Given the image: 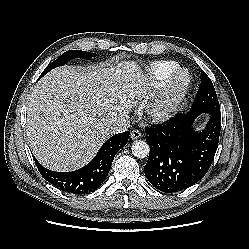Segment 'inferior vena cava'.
Returning <instances> with one entry per match:
<instances>
[{
	"label": "inferior vena cava",
	"instance_id": "inferior-vena-cava-1",
	"mask_svg": "<svg viewBox=\"0 0 249 249\" xmlns=\"http://www.w3.org/2000/svg\"><path fill=\"white\" fill-rule=\"evenodd\" d=\"M130 127V119L127 116L119 117L114 123L110 125V132L112 134L122 133Z\"/></svg>",
	"mask_w": 249,
	"mask_h": 249
}]
</instances>
